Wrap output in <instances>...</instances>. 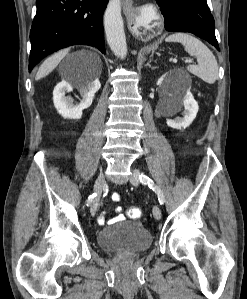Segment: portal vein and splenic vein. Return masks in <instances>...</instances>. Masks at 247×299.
Returning <instances> with one entry per match:
<instances>
[{
	"mask_svg": "<svg viewBox=\"0 0 247 299\" xmlns=\"http://www.w3.org/2000/svg\"><path fill=\"white\" fill-rule=\"evenodd\" d=\"M177 60L176 59H173V62H176ZM185 62H187V63H190V62H192V60H186Z\"/></svg>",
	"mask_w": 247,
	"mask_h": 299,
	"instance_id": "18ae733b",
	"label": "portal vein and splenic vein"
}]
</instances>
